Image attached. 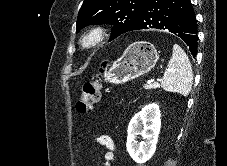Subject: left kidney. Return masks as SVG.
Here are the masks:
<instances>
[{
  "mask_svg": "<svg viewBox=\"0 0 227 166\" xmlns=\"http://www.w3.org/2000/svg\"><path fill=\"white\" fill-rule=\"evenodd\" d=\"M161 114L156 103L146 105L131 119L127 132V151L130 157L139 164L147 162L155 153L158 135L161 128ZM143 141L138 143L137 136Z\"/></svg>",
  "mask_w": 227,
  "mask_h": 166,
  "instance_id": "obj_1",
  "label": "left kidney"
}]
</instances>
